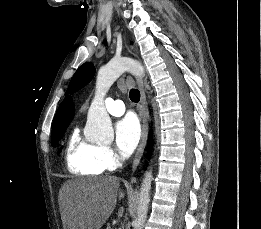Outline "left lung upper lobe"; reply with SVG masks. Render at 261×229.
Here are the masks:
<instances>
[{"mask_svg": "<svg viewBox=\"0 0 261 229\" xmlns=\"http://www.w3.org/2000/svg\"><path fill=\"white\" fill-rule=\"evenodd\" d=\"M95 74V67L92 63L81 65L72 77L67 92H76L91 81Z\"/></svg>", "mask_w": 261, "mask_h": 229, "instance_id": "5c2ea615", "label": "left lung upper lobe"}]
</instances>
